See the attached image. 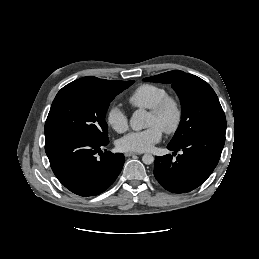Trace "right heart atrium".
I'll return each mask as SVG.
<instances>
[{
	"mask_svg": "<svg viewBox=\"0 0 259 259\" xmlns=\"http://www.w3.org/2000/svg\"><path fill=\"white\" fill-rule=\"evenodd\" d=\"M106 121L118 133H123L128 128L127 114L118 106H113L108 110Z\"/></svg>",
	"mask_w": 259,
	"mask_h": 259,
	"instance_id": "right-heart-atrium-1",
	"label": "right heart atrium"
}]
</instances>
